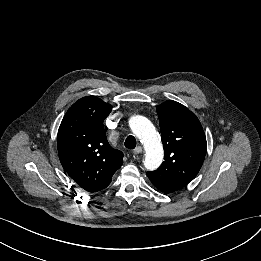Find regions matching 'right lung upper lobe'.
<instances>
[{
    "instance_id": "1",
    "label": "right lung upper lobe",
    "mask_w": 261,
    "mask_h": 261,
    "mask_svg": "<svg viewBox=\"0 0 261 261\" xmlns=\"http://www.w3.org/2000/svg\"><path fill=\"white\" fill-rule=\"evenodd\" d=\"M111 110L110 104L95 96L83 97L69 108L58 130L60 162L88 192L106 188L123 164V153L109 145L103 128Z\"/></svg>"
}]
</instances>
